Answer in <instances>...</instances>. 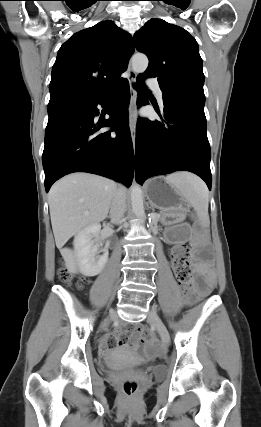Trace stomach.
Instances as JSON below:
<instances>
[{"mask_svg": "<svg viewBox=\"0 0 261 427\" xmlns=\"http://www.w3.org/2000/svg\"><path fill=\"white\" fill-rule=\"evenodd\" d=\"M145 190L150 204L163 213L165 217L182 220L187 212L188 202L178 187L167 178L150 179Z\"/></svg>", "mask_w": 261, "mask_h": 427, "instance_id": "stomach-1", "label": "stomach"}]
</instances>
